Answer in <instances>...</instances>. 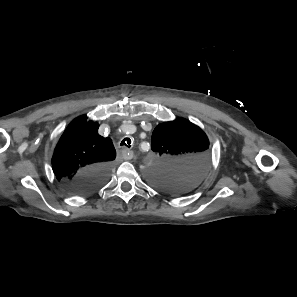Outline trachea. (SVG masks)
<instances>
[{
    "label": "trachea",
    "instance_id": "3493384b",
    "mask_svg": "<svg viewBox=\"0 0 297 297\" xmlns=\"http://www.w3.org/2000/svg\"><path fill=\"white\" fill-rule=\"evenodd\" d=\"M120 146H126L128 148L131 147V139L130 138H125L121 141Z\"/></svg>",
    "mask_w": 297,
    "mask_h": 297
}]
</instances>
